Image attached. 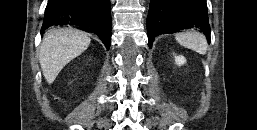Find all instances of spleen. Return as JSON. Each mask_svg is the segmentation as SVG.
<instances>
[{
    "instance_id": "1",
    "label": "spleen",
    "mask_w": 257,
    "mask_h": 130,
    "mask_svg": "<svg viewBox=\"0 0 257 130\" xmlns=\"http://www.w3.org/2000/svg\"><path fill=\"white\" fill-rule=\"evenodd\" d=\"M176 40L179 42L180 45L194 50L199 54H206L207 52V42L205 37L195 31L189 30L182 33H178L175 36Z\"/></svg>"
}]
</instances>
